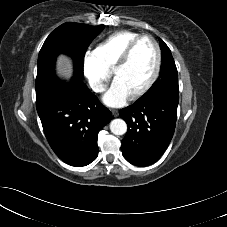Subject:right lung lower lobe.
Segmentation results:
<instances>
[{"label":"right lung lower lobe","mask_w":227,"mask_h":227,"mask_svg":"<svg viewBox=\"0 0 227 227\" xmlns=\"http://www.w3.org/2000/svg\"><path fill=\"white\" fill-rule=\"evenodd\" d=\"M36 108L46 138L62 161L80 167L97 158L98 133L112 115L82 79L45 82L36 88Z\"/></svg>","instance_id":"obj_1"}]
</instances>
